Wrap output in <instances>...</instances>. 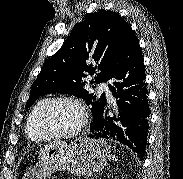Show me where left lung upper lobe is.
<instances>
[{
    "label": "left lung upper lobe",
    "instance_id": "obj_1",
    "mask_svg": "<svg viewBox=\"0 0 183 179\" xmlns=\"http://www.w3.org/2000/svg\"><path fill=\"white\" fill-rule=\"evenodd\" d=\"M130 30V25L116 12L99 10L88 13L85 20L74 27L61 49L44 63L25 108L40 96L64 93L85 100L92 106L93 118H96L105 107V94L99 99L89 94L84 78L95 75L90 84L110 79Z\"/></svg>",
    "mask_w": 183,
    "mask_h": 179
}]
</instances>
